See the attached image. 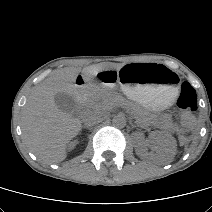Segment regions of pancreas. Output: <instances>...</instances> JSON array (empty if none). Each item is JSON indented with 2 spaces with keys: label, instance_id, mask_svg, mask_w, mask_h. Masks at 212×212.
Instances as JSON below:
<instances>
[{
  "label": "pancreas",
  "instance_id": "pancreas-1",
  "mask_svg": "<svg viewBox=\"0 0 212 212\" xmlns=\"http://www.w3.org/2000/svg\"><path fill=\"white\" fill-rule=\"evenodd\" d=\"M97 100L102 101L101 108L104 110H111L118 105L128 108L140 124H151L154 122V117L148 111L115 94L104 92L98 95L90 94L88 97V102L91 104H94Z\"/></svg>",
  "mask_w": 212,
  "mask_h": 212
}]
</instances>
